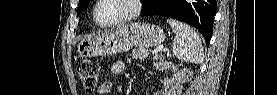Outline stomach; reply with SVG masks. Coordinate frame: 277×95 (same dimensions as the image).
Returning a JSON list of instances; mask_svg holds the SVG:
<instances>
[{"label":"stomach","instance_id":"0dacf381","mask_svg":"<svg viewBox=\"0 0 277 95\" xmlns=\"http://www.w3.org/2000/svg\"><path fill=\"white\" fill-rule=\"evenodd\" d=\"M165 40L163 29L149 23H132L104 34L82 40L77 45L81 58L112 55L134 47H154Z\"/></svg>","mask_w":277,"mask_h":95}]
</instances>
